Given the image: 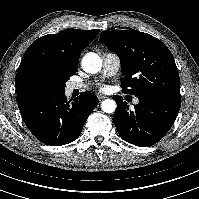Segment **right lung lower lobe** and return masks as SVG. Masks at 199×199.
Here are the masks:
<instances>
[{
	"instance_id": "obj_1",
	"label": "right lung lower lobe",
	"mask_w": 199,
	"mask_h": 199,
	"mask_svg": "<svg viewBox=\"0 0 199 199\" xmlns=\"http://www.w3.org/2000/svg\"><path fill=\"white\" fill-rule=\"evenodd\" d=\"M97 97L83 92L67 101L64 93L18 103L22 118L32 134L47 145H63L76 140L98 104Z\"/></svg>"
}]
</instances>
